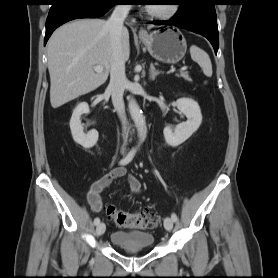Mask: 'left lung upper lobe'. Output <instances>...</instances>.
Returning <instances> with one entry per match:
<instances>
[{
    "instance_id": "5c2ea615",
    "label": "left lung upper lobe",
    "mask_w": 278,
    "mask_h": 278,
    "mask_svg": "<svg viewBox=\"0 0 278 278\" xmlns=\"http://www.w3.org/2000/svg\"><path fill=\"white\" fill-rule=\"evenodd\" d=\"M177 1V4L180 5V7H183L184 5H186V3L189 1V0H176Z\"/></svg>"
}]
</instances>
